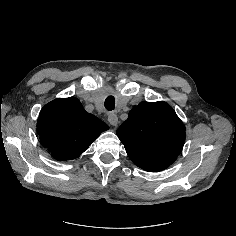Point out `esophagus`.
Returning a JSON list of instances; mask_svg holds the SVG:
<instances>
[{
    "mask_svg": "<svg viewBox=\"0 0 236 236\" xmlns=\"http://www.w3.org/2000/svg\"><path fill=\"white\" fill-rule=\"evenodd\" d=\"M108 122H109L112 126L117 127V125H118V117H117V115H116L115 113H110V114L108 115Z\"/></svg>",
    "mask_w": 236,
    "mask_h": 236,
    "instance_id": "34e87169",
    "label": "esophagus"
}]
</instances>
